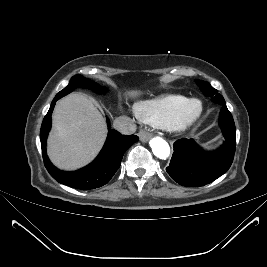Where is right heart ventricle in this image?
<instances>
[{
    "label": "right heart ventricle",
    "instance_id": "1",
    "mask_svg": "<svg viewBox=\"0 0 267 267\" xmlns=\"http://www.w3.org/2000/svg\"><path fill=\"white\" fill-rule=\"evenodd\" d=\"M187 100L188 98L183 95H164L137 103L135 113L140 120L151 125L163 127Z\"/></svg>",
    "mask_w": 267,
    "mask_h": 267
}]
</instances>
